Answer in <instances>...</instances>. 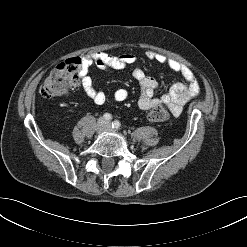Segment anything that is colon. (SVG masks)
Segmentation results:
<instances>
[{
    "label": "colon",
    "mask_w": 247,
    "mask_h": 247,
    "mask_svg": "<svg viewBox=\"0 0 247 247\" xmlns=\"http://www.w3.org/2000/svg\"><path fill=\"white\" fill-rule=\"evenodd\" d=\"M79 66V58H71L57 65L42 84L41 96L44 99H51L75 88L79 82ZM168 117L169 111L164 105L153 107L146 115V119L151 123L163 122Z\"/></svg>",
    "instance_id": "colon-1"
}]
</instances>
